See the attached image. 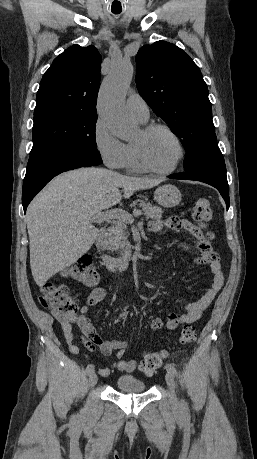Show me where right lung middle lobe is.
<instances>
[{
	"label": "right lung middle lobe",
	"mask_w": 257,
	"mask_h": 459,
	"mask_svg": "<svg viewBox=\"0 0 257 459\" xmlns=\"http://www.w3.org/2000/svg\"><path fill=\"white\" fill-rule=\"evenodd\" d=\"M96 121L97 114L73 109L53 108L34 112L30 154L71 149L100 159L95 141Z\"/></svg>",
	"instance_id": "obj_1"
}]
</instances>
